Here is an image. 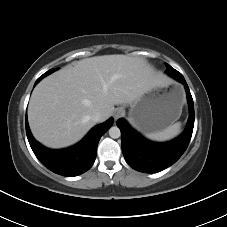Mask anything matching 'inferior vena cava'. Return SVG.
Instances as JSON below:
<instances>
[{
  "label": "inferior vena cava",
  "mask_w": 227,
  "mask_h": 227,
  "mask_svg": "<svg viewBox=\"0 0 227 227\" xmlns=\"http://www.w3.org/2000/svg\"><path fill=\"white\" fill-rule=\"evenodd\" d=\"M91 119L96 123L100 122L102 119V113L100 111H96L92 114Z\"/></svg>",
  "instance_id": "602c4592"
}]
</instances>
